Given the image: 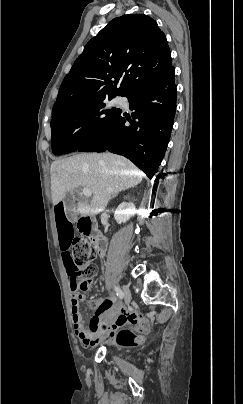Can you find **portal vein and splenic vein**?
Returning <instances> with one entry per match:
<instances>
[{"instance_id":"1","label":"portal vein and splenic vein","mask_w":243,"mask_h":404,"mask_svg":"<svg viewBox=\"0 0 243 404\" xmlns=\"http://www.w3.org/2000/svg\"><path fill=\"white\" fill-rule=\"evenodd\" d=\"M83 194L84 196H87V198H90V196H92V192L91 190H89V188H84Z\"/></svg>"}]
</instances>
